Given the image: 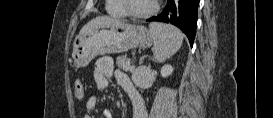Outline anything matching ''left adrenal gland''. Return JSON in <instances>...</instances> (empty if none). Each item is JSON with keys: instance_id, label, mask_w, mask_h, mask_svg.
<instances>
[{"instance_id": "1", "label": "left adrenal gland", "mask_w": 273, "mask_h": 118, "mask_svg": "<svg viewBox=\"0 0 273 118\" xmlns=\"http://www.w3.org/2000/svg\"><path fill=\"white\" fill-rule=\"evenodd\" d=\"M143 60H144V57H143V58H141L140 63H142V62H143Z\"/></svg>"}]
</instances>
